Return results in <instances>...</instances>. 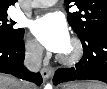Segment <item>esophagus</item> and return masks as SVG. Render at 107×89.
Returning a JSON list of instances; mask_svg holds the SVG:
<instances>
[{
  "label": "esophagus",
  "instance_id": "obj_1",
  "mask_svg": "<svg viewBox=\"0 0 107 89\" xmlns=\"http://www.w3.org/2000/svg\"><path fill=\"white\" fill-rule=\"evenodd\" d=\"M52 74H53L52 68L44 67L41 69V75L44 81H47L52 76Z\"/></svg>",
  "mask_w": 107,
  "mask_h": 89
}]
</instances>
